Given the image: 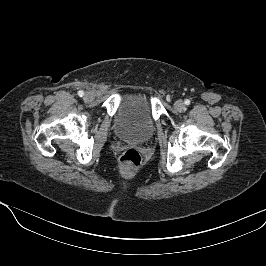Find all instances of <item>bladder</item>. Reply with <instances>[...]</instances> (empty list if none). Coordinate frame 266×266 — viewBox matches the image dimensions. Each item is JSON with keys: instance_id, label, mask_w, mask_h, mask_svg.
Masks as SVG:
<instances>
[{"instance_id": "bladder-1", "label": "bladder", "mask_w": 266, "mask_h": 266, "mask_svg": "<svg viewBox=\"0 0 266 266\" xmlns=\"http://www.w3.org/2000/svg\"><path fill=\"white\" fill-rule=\"evenodd\" d=\"M114 125L117 134L123 139L136 142L148 140L155 130L149 97L145 94L126 96L116 112Z\"/></svg>"}]
</instances>
